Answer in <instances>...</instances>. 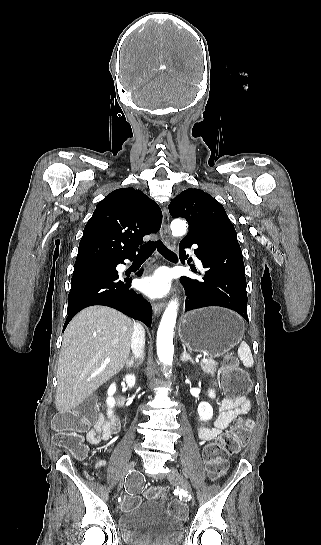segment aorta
I'll use <instances>...</instances> for the list:
<instances>
[{"label":"aorta","mask_w":321,"mask_h":545,"mask_svg":"<svg viewBox=\"0 0 321 545\" xmlns=\"http://www.w3.org/2000/svg\"><path fill=\"white\" fill-rule=\"evenodd\" d=\"M171 230L174 236H183L187 230V224L183 220H173ZM178 303L172 300L166 308L157 332V355L164 365L171 366L173 362V335L177 318Z\"/></svg>","instance_id":"762f6f07"}]
</instances>
